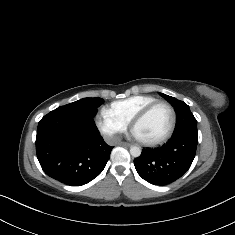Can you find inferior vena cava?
I'll return each instance as SVG.
<instances>
[{
  "instance_id": "inferior-vena-cava-1",
  "label": "inferior vena cava",
  "mask_w": 235,
  "mask_h": 235,
  "mask_svg": "<svg viewBox=\"0 0 235 235\" xmlns=\"http://www.w3.org/2000/svg\"><path fill=\"white\" fill-rule=\"evenodd\" d=\"M104 140L109 145H117L121 141L118 135H106Z\"/></svg>"
}]
</instances>
